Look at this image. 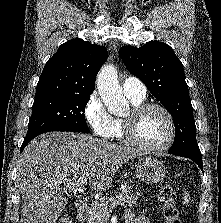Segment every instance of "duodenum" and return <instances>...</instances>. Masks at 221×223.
Listing matches in <instances>:
<instances>
[{"label": "duodenum", "instance_id": "duodenum-1", "mask_svg": "<svg viewBox=\"0 0 221 223\" xmlns=\"http://www.w3.org/2000/svg\"><path fill=\"white\" fill-rule=\"evenodd\" d=\"M90 211V204L86 200L77 201V218L83 221Z\"/></svg>", "mask_w": 221, "mask_h": 223}]
</instances>
